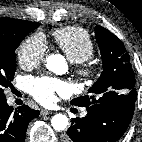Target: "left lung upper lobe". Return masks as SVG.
<instances>
[{
  "label": "left lung upper lobe",
  "mask_w": 142,
  "mask_h": 142,
  "mask_svg": "<svg viewBox=\"0 0 142 142\" xmlns=\"http://www.w3.org/2000/svg\"><path fill=\"white\" fill-rule=\"evenodd\" d=\"M95 36L102 54L103 72L88 90L89 95L75 98L71 104L88 107L123 99L136 101L135 75L125 46L102 26L95 27Z\"/></svg>",
  "instance_id": "1"
}]
</instances>
